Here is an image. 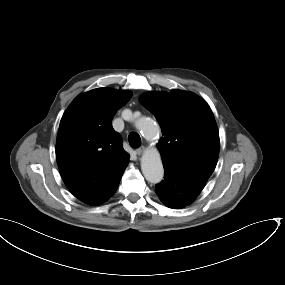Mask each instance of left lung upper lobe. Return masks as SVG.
<instances>
[{
	"label": "left lung upper lobe",
	"mask_w": 285,
	"mask_h": 285,
	"mask_svg": "<svg viewBox=\"0 0 285 285\" xmlns=\"http://www.w3.org/2000/svg\"><path fill=\"white\" fill-rule=\"evenodd\" d=\"M141 104L162 130L158 143L164 167L207 181L215 169L220 140L209 105L198 95L182 90L150 92Z\"/></svg>",
	"instance_id": "5c2ea615"
}]
</instances>
